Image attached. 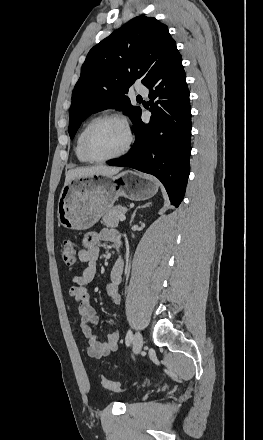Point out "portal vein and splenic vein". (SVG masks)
<instances>
[{"label": "portal vein and splenic vein", "instance_id": "obj_1", "mask_svg": "<svg viewBox=\"0 0 263 440\" xmlns=\"http://www.w3.org/2000/svg\"><path fill=\"white\" fill-rule=\"evenodd\" d=\"M119 219H120L121 221H124V220L126 219V217H125L124 214H121V215L119 216Z\"/></svg>", "mask_w": 263, "mask_h": 440}]
</instances>
